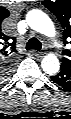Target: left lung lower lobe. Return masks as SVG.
Listing matches in <instances>:
<instances>
[{"instance_id":"1","label":"left lung lower lobe","mask_w":71,"mask_h":119,"mask_svg":"<svg viewBox=\"0 0 71 119\" xmlns=\"http://www.w3.org/2000/svg\"><path fill=\"white\" fill-rule=\"evenodd\" d=\"M51 79L61 87L69 89L71 87V67L61 65L60 72Z\"/></svg>"}]
</instances>
